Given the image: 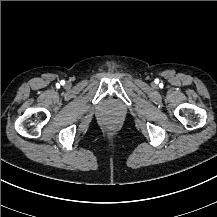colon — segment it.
<instances>
[{
  "mask_svg": "<svg viewBox=\"0 0 217 217\" xmlns=\"http://www.w3.org/2000/svg\"><path fill=\"white\" fill-rule=\"evenodd\" d=\"M109 125L110 126H115L116 125V120L115 119H110L109 120Z\"/></svg>",
  "mask_w": 217,
  "mask_h": 217,
  "instance_id": "colon-1",
  "label": "colon"
}]
</instances>
